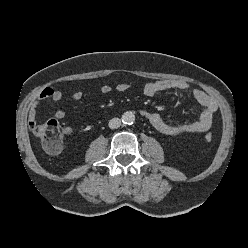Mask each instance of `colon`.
<instances>
[{
  "label": "colon",
  "mask_w": 248,
  "mask_h": 248,
  "mask_svg": "<svg viewBox=\"0 0 248 248\" xmlns=\"http://www.w3.org/2000/svg\"><path fill=\"white\" fill-rule=\"evenodd\" d=\"M34 134L39 137L42 147L50 154H58L63 149V130L56 120H49L34 129ZM206 142L212 141V134L204 137Z\"/></svg>",
  "instance_id": "5ec220e1"
}]
</instances>
